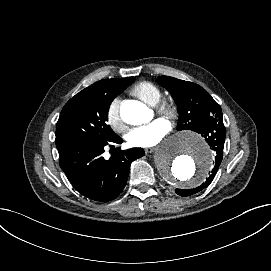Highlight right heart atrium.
Returning a JSON list of instances; mask_svg holds the SVG:
<instances>
[{
  "label": "right heart atrium",
  "mask_w": 271,
  "mask_h": 271,
  "mask_svg": "<svg viewBox=\"0 0 271 271\" xmlns=\"http://www.w3.org/2000/svg\"><path fill=\"white\" fill-rule=\"evenodd\" d=\"M120 97L114 96L108 103L106 119L108 124L116 131L123 132L126 129L124 121L119 113Z\"/></svg>",
  "instance_id": "d8ad5b80"
}]
</instances>
